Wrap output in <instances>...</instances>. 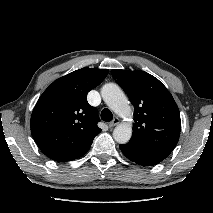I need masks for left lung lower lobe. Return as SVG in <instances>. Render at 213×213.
I'll return each instance as SVG.
<instances>
[{"label": "left lung lower lobe", "mask_w": 213, "mask_h": 213, "mask_svg": "<svg viewBox=\"0 0 213 213\" xmlns=\"http://www.w3.org/2000/svg\"><path fill=\"white\" fill-rule=\"evenodd\" d=\"M121 151L123 154L131 161L143 165V166H152L160 163L165 157L157 154L148 153L138 149L137 147L131 144H121Z\"/></svg>", "instance_id": "1"}]
</instances>
